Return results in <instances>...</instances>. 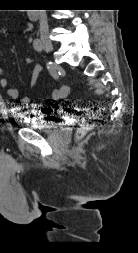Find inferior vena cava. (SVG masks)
Returning a JSON list of instances; mask_svg holds the SVG:
<instances>
[{
  "mask_svg": "<svg viewBox=\"0 0 138 253\" xmlns=\"http://www.w3.org/2000/svg\"><path fill=\"white\" fill-rule=\"evenodd\" d=\"M39 23H40V36L42 39H48L49 36V29H48V21L46 10H40L39 13Z\"/></svg>",
  "mask_w": 138,
  "mask_h": 253,
  "instance_id": "602c4592",
  "label": "inferior vena cava"
}]
</instances>
